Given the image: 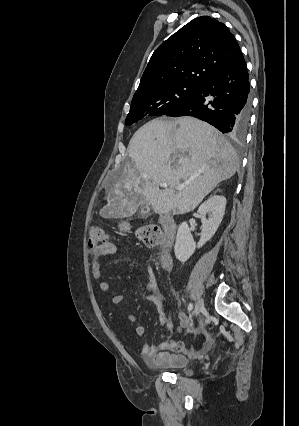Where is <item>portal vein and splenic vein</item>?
I'll return each mask as SVG.
<instances>
[{"label":"portal vein and splenic vein","mask_w":299,"mask_h":426,"mask_svg":"<svg viewBox=\"0 0 299 426\" xmlns=\"http://www.w3.org/2000/svg\"><path fill=\"white\" fill-rule=\"evenodd\" d=\"M162 187H164V188H167L168 187V184L167 183H161L160 184ZM173 189H176V190H181L183 187H185V184H176V185H172L171 186Z\"/></svg>","instance_id":"1"}]
</instances>
